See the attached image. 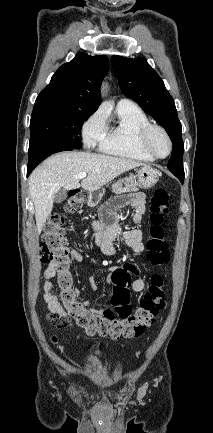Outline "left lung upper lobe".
<instances>
[{"mask_svg": "<svg viewBox=\"0 0 213 433\" xmlns=\"http://www.w3.org/2000/svg\"><path fill=\"white\" fill-rule=\"evenodd\" d=\"M111 63L123 94L132 98L147 114L163 126L170 136L173 151L168 169L176 177H184L182 126L173 98L165 88L163 80L145 58L129 59L112 56Z\"/></svg>", "mask_w": 213, "mask_h": 433, "instance_id": "obj_1", "label": "left lung upper lobe"}]
</instances>
